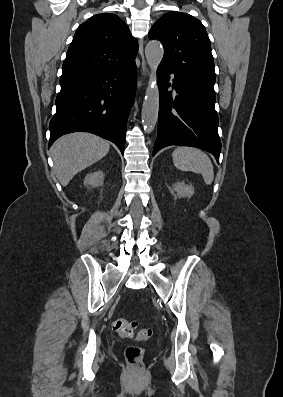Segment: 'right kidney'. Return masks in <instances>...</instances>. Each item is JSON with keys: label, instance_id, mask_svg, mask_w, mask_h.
I'll use <instances>...</instances> for the list:
<instances>
[{"label": "right kidney", "instance_id": "right-kidney-1", "mask_svg": "<svg viewBox=\"0 0 283 397\" xmlns=\"http://www.w3.org/2000/svg\"><path fill=\"white\" fill-rule=\"evenodd\" d=\"M104 173L102 171H97L94 173H89L84 179V185H91L92 187H98L103 185Z\"/></svg>", "mask_w": 283, "mask_h": 397}]
</instances>
